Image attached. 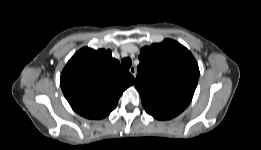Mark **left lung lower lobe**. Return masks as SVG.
<instances>
[{"mask_svg":"<svg viewBox=\"0 0 261 150\" xmlns=\"http://www.w3.org/2000/svg\"><path fill=\"white\" fill-rule=\"evenodd\" d=\"M153 117H155V118H157V119L164 120L163 118H161V117H158V116H153Z\"/></svg>","mask_w":261,"mask_h":150,"instance_id":"1","label":"left lung lower lobe"}]
</instances>
